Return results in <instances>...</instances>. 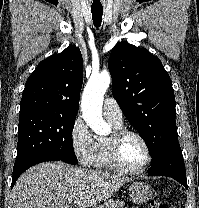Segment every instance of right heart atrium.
<instances>
[{"mask_svg": "<svg viewBox=\"0 0 199 208\" xmlns=\"http://www.w3.org/2000/svg\"><path fill=\"white\" fill-rule=\"evenodd\" d=\"M70 142L78 161L84 166H91L96 143L90 128L81 116H77L71 125Z\"/></svg>", "mask_w": 199, "mask_h": 208, "instance_id": "right-heart-atrium-1", "label": "right heart atrium"}]
</instances>
